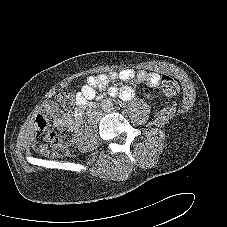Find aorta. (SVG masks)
<instances>
[{
  "label": "aorta",
  "mask_w": 227,
  "mask_h": 227,
  "mask_svg": "<svg viewBox=\"0 0 227 227\" xmlns=\"http://www.w3.org/2000/svg\"><path fill=\"white\" fill-rule=\"evenodd\" d=\"M101 108L104 111H110L113 108V104L110 100H104L102 101Z\"/></svg>",
  "instance_id": "aorta-1"
}]
</instances>
